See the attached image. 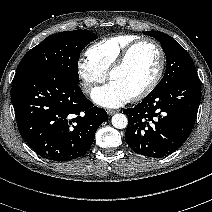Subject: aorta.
Listing matches in <instances>:
<instances>
[{
	"label": "aorta",
	"mask_w": 212,
	"mask_h": 212,
	"mask_svg": "<svg viewBox=\"0 0 212 212\" xmlns=\"http://www.w3.org/2000/svg\"><path fill=\"white\" fill-rule=\"evenodd\" d=\"M111 123L117 129H124L128 125V119L126 115L122 113H117L112 117Z\"/></svg>",
	"instance_id": "obj_1"
}]
</instances>
